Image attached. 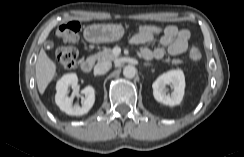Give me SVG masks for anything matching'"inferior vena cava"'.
<instances>
[{
	"label": "inferior vena cava",
	"mask_w": 244,
	"mask_h": 157,
	"mask_svg": "<svg viewBox=\"0 0 244 157\" xmlns=\"http://www.w3.org/2000/svg\"><path fill=\"white\" fill-rule=\"evenodd\" d=\"M112 64L109 61H102L95 65L94 72L98 75L105 74L110 68Z\"/></svg>",
	"instance_id": "inferior-vena-cava-1"
}]
</instances>
